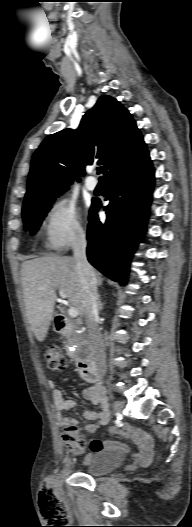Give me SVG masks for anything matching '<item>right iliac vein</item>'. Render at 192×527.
I'll return each mask as SVG.
<instances>
[{
    "label": "right iliac vein",
    "instance_id": "right-iliac-vein-1",
    "mask_svg": "<svg viewBox=\"0 0 192 527\" xmlns=\"http://www.w3.org/2000/svg\"><path fill=\"white\" fill-rule=\"evenodd\" d=\"M123 408V404L120 401H114L113 402V409L116 412H120Z\"/></svg>",
    "mask_w": 192,
    "mask_h": 527
}]
</instances>
